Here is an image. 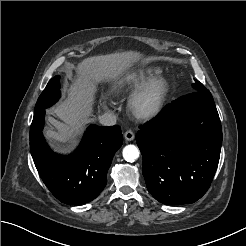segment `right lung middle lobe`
<instances>
[{
	"label": "right lung middle lobe",
	"mask_w": 246,
	"mask_h": 246,
	"mask_svg": "<svg viewBox=\"0 0 246 246\" xmlns=\"http://www.w3.org/2000/svg\"><path fill=\"white\" fill-rule=\"evenodd\" d=\"M60 76L53 77L41 93L36 105L35 111L39 109H46L53 105L60 97Z\"/></svg>",
	"instance_id": "obj_1"
}]
</instances>
